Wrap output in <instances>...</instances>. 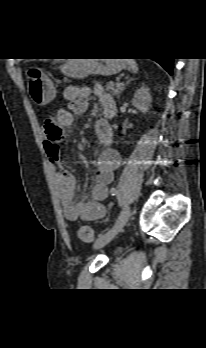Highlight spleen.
Masks as SVG:
<instances>
[{
  "mask_svg": "<svg viewBox=\"0 0 206 348\" xmlns=\"http://www.w3.org/2000/svg\"><path fill=\"white\" fill-rule=\"evenodd\" d=\"M126 61H127V64L129 65V67L132 69L133 73H137L138 66H137V63L135 62V60L127 59Z\"/></svg>",
  "mask_w": 206,
  "mask_h": 348,
  "instance_id": "1",
  "label": "spleen"
}]
</instances>
